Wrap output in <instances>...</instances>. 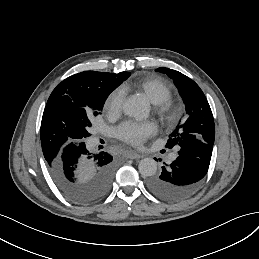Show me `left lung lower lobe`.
Listing matches in <instances>:
<instances>
[{
    "mask_svg": "<svg viewBox=\"0 0 259 259\" xmlns=\"http://www.w3.org/2000/svg\"><path fill=\"white\" fill-rule=\"evenodd\" d=\"M178 149L177 159L164 163L161 174L147 181L148 189L164 200H182L198 188L209 168L213 144L191 139Z\"/></svg>",
    "mask_w": 259,
    "mask_h": 259,
    "instance_id": "obj_1",
    "label": "left lung lower lobe"
}]
</instances>
